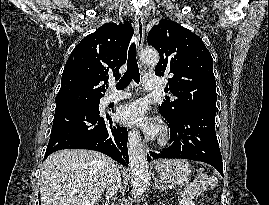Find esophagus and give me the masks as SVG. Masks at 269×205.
Here are the masks:
<instances>
[{
    "instance_id": "esophagus-1",
    "label": "esophagus",
    "mask_w": 269,
    "mask_h": 205,
    "mask_svg": "<svg viewBox=\"0 0 269 205\" xmlns=\"http://www.w3.org/2000/svg\"><path fill=\"white\" fill-rule=\"evenodd\" d=\"M135 27H136V34H137V49L140 50L144 43L145 37V19L141 13H137L134 17ZM139 67L143 70V65L139 63ZM143 151L146 153L148 152V146L143 143L142 144Z\"/></svg>"
}]
</instances>
